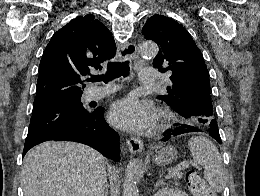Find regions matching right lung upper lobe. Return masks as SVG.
<instances>
[{
	"label": "right lung upper lobe",
	"instance_id": "1",
	"mask_svg": "<svg viewBox=\"0 0 260 196\" xmlns=\"http://www.w3.org/2000/svg\"><path fill=\"white\" fill-rule=\"evenodd\" d=\"M94 18L79 16L52 36L40 62L34 105L81 96L83 76L114 57L112 34Z\"/></svg>",
	"mask_w": 260,
	"mask_h": 196
}]
</instances>
